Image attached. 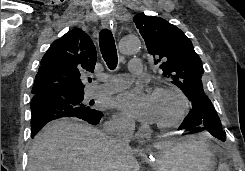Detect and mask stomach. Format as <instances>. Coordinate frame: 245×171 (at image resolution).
<instances>
[{
    "mask_svg": "<svg viewBox=\"0 0 245 171\" xmlns=\"http://www.w3.org/2000/svg\"><path fill=\"white\" fill-rule=\"evenodd\" d=\"M216 145L205 134L177 140L152 154L156 171H214Z\"/></svg>",
    "mask_w": 245,
    "mask_h": 171,
    "instance_id": "stomach-1",
    "label": "stomach"
}]
</instances>
